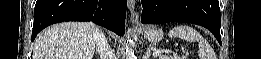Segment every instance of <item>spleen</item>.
<instances>
[{
  "label": "spleen",
  "mask_w": 261,
  "mask_h": 59,
  "mask_svg": "<svg viewBox=\"0 0 261 59\" xmlns=\"http://www.w3.org/2000/svg\"><path fill=\"white\" fill-rule=\"evenodd\" d=\"M168 35L187 42H197L200 59H214L215 55L213 49L210 47L207 40L194 28L188 25L175 26L169 31Z\"/></svg>",
  "instance_id": "1"
}]
</instances>
